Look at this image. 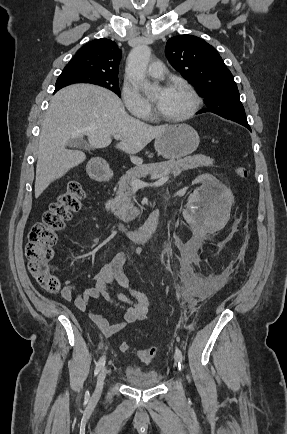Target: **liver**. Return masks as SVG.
Masks as SVG:
<instances>
[{"label": "liver", "instance_id": "liver-1", "mask_svg": "<svg viewBox=\"0 0 287 434\" xmlns=\"http://www.w3.org/2000/svg\"><path fill=\"white\" fill-rule=\"evenodd\" d=\"M167 128L129 116L119 97L102 87L78 84L60 90L52 97L42 122L35 197L86 159L82 151L66 149L71 140L87 136L91 147L105 148L111 136L118 134L121 142L116 148L128 153L133 163H141L135 154Z\"/></svg>", "mask_w": 287, "mask_h": 434}]
</instances>
